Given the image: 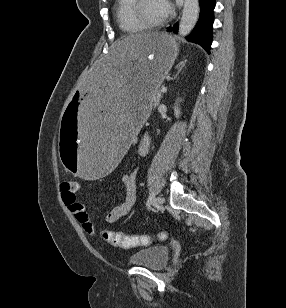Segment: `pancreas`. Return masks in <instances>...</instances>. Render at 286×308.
I'll use <instances>...</instances> for the list:
<instances>
[{
  "label": "pancreas",
  "mask_w": 286,
  "mask_h": 308,
  "mask_svg": "<svg viewBox=\"0 0 286 308\" xmlns=\"http://www.w3.org/2000/svg\"><path fill=\"white\" fill-rule=\"evenodd\" d=\"M161 97H162L161 91H160V90H157V91L155 92L154 97H153V104H152V105H154V106L157 105L158 102L160 101Z\"/></svg>",
  "instance_id": "1"
}]
</instances>
